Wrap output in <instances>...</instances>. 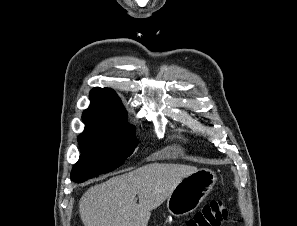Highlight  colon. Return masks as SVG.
<instances>
[{
  "label": "colon",
  "instance_id": "5ec220e1",
  "mask_svg": "<svg viewBox=\"0 0 297 226\" xmlns=\"http://www.w3.org/2000/svg\"><path fill=\"white\" fill-rule=\"evenodd\" d=\"M230 217L229 210L219 200H212L194 214L184 226H220Z\"/></svg>",
  "mask_w": 297,
  "mask_h": 226
}]
</instances>
